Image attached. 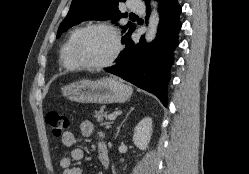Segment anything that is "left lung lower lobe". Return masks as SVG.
<instances>
[{
  "label": "left lung lower lobe",
  "instance_id": "obj_1",
  "mask_svg": "<svg viewBox=\"0 0 249 174\" xmlns=\"http://www.w3.org/2000/svg\"><path fill=\"white\" fill-rule=\"evenodd\" d=\"M160 19L156 38L146 44L144 36L135 44L130 36L122 42L126 48L121 52L117 65L105 71L120 76L126 81L156 95L167 106V84L170 80V67L173 52L178 45V32L181 29L178 0H157ZM150 15L147 4L146 19Z\"/></svg>",
  "mask_w": 249,
  "mask_h": 174
}]
</instances>
